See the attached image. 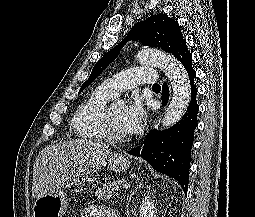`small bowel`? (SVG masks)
Returning a JSON list of instances; mask_svg holds the SVG:
<instances>
[{
	"instance_id": "obj_1",
	"label": "small bowel",
	"mask_w": 255,
	"mask_h": 217,
	"mask_svg": "<svg viewBox=\"0 0 255 217\" xmlns=\"http://www.w3.org/2000/svg\"><path fill=\"white\" fill-rule=\"evenodd\" d=\"M80 217H119L117 212L102 205H89L85 207Z\"/></svg>"
}]
</instances>
